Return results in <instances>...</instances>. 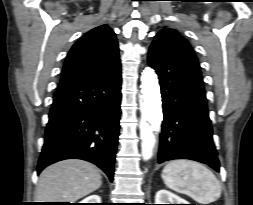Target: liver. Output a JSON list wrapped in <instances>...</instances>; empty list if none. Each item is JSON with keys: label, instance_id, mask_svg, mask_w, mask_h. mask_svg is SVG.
Returning a JSON list of instances; mask_svg holds the SVG:
<instances>
[{"label": "liver", "instance_id": "liver-1", "mask_svg": "<svg viewBox=\"0 0 253 205\" xmlns=\"http://www.w3.org/2000/svg\"><path fill=\"white\" fill-rule=\"evenodd\" d=\"M101 184V175L95 165L84 160H64L42 171L36 200L74 203L97 190Z\"/></svg>", "mask_w": 253, "mask_h": 205}]
</instances>
